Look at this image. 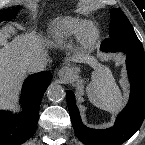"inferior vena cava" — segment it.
<instances>
[{
	"label": "inferior vena cava",
	"instance_id": "1",
	"mask_svg": "<svg viewBox=\"0 0 145 145\" xmlns=\"http://www.w3.org/2000/svg\"><path fill=\"white\" fill-rule=\"evenodd\" d=\"M47 65V59L45 57H39L35 60L27 62L25 65V69L29 73H36L43 71Z\"/></svg>",
	"mask_w": 145,
	"mask_h": 145
}]
</instances>
